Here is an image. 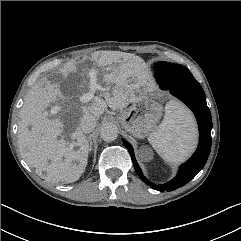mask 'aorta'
I'll return each mask as SVG.
<instances>
[{
    "label": "aorta",
    "mask_w": 241,
    "mask_h": 241,
    "mask_svg": "<svg viewBox=\"0 0 241 241\" xmlns=\"http://www.w3.org/2000/svg\"><path fill=\"white\" fill-rule=\"evenodd\" d=\"M100 136L106 142H112L118 137V127L112 122H106L101 126Z\"/></svg>",
    "instance_id": "aorta-1"
}]
</instances>
